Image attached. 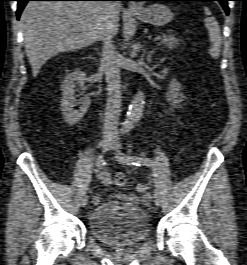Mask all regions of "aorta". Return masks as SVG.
I'll list each match as a JSON object with an SVG mask.
<instances>
[{
    "instance_id": "aorta-1",
    "label": "aorta",
    "mask_w": 247,
    "mask_h": 265,
    "mask_svg": "<svg viewBox=\"0 0 247 265\" xmlns=\"http://www.w3.org/2000/svg\"><path fill=\"white\" fill-rule=\"evenodd\" d=\"M145 96L142 91H138L129 106L126 120L123 124V130L129 131L134 128L143 115Z\"/></svg>"
}]
</instances>
